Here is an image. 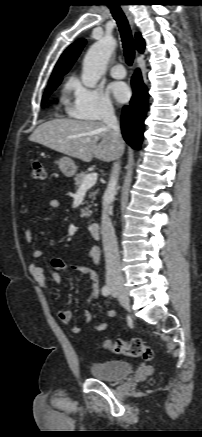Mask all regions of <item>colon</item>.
I'll use <instances>...</instances> for the list:
<instances>
[{"label":"colon","mask_w":202,"mask_h":437,"mask_svg":"<svg viewBox=\"0 0 202 437\" xmlns=\"http://www.w3.org/2000/svg\"><path fill=\"white\" fill-rule=\"evenodd\" d=\"M31 176L34 179L43 180L45 178V169L41 162L35 161L31 166ZM105 349L115 353L133 358H142L150 361L153 358V350L139 338H133L130 341L117 339L106 341Z\"/></svg>","instance_id":"colon-1"}]
</instances>
